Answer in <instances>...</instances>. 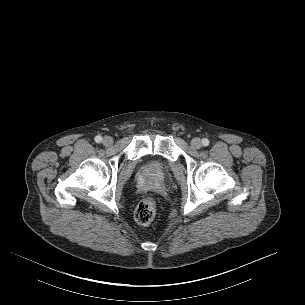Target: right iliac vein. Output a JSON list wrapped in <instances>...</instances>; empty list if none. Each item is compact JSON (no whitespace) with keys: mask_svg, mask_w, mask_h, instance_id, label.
<instances>
[{"mask_svg":"<svg viewBox=\"0 0 305 305\" xmlns=\"http://www.w3.org/2000/svg\"><path fill=\"white\" fill-rule=\"evenodd\" d=\"M102 142L105 146H111L113 144V139L110 136H105Z\"/></svg>","mask_w":305,"mask_h":305,"instance_id":"obj_1","label":"right iliac vein"}]
</instances>
